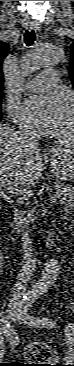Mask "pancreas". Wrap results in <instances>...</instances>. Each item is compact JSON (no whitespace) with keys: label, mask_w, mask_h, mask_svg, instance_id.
Here are the masks:
<instances>
[{"label":"pancreas","mask_w":74,"mask_h":366,"mask_svg":"<svg viewBox=\"0 0 74 366\" xmlns=\"http://www.w3.org/2000/svg\"><path fill=\"white\" fill-rule=\"evenodd\" d=\"M56 194L60 195L63 200L68 202L70 205L74 199V189L70 185L66 184H56L55 185Z\"/></svg>","instance_id":"obj_1"}]
</instances>
